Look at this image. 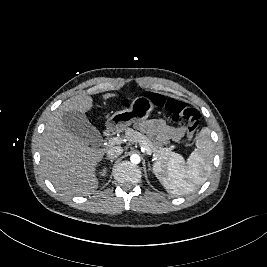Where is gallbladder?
Returning <instances> with one entry per match:
<instances>
[{
  "mask_svg": "<svg viewBox=\"0 0 267 267\" xmlns=\"http://www.w3.org/2000/svg\"><path fill=\"white\" fill-rule=\"evenodd\" d=\"M64 128L93 146L102 142L100 132L89 122L85 114L78 111L65 112L62 117Z\"/></svg>",
  "mask_w": 267,
  "mask_h": 267,
  "instance_id": "gallbladder-1",
  "label": "gallbladder"
}]
</instances>
